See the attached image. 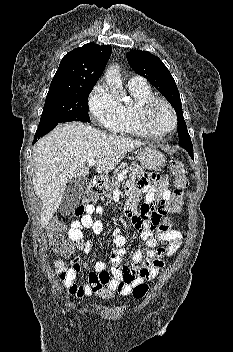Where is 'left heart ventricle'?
<instances>
[{
  "mask_svg": "<svg viewBox=\"0 0 233 352\" xmlns=\"http://www.w3.org/2000/svg\"><path fill=\"white\" fill-rule=\"evenodd\" d=\"M149 124L157 133L168 130L172 126V117L168 109L162 104H156L151 109Z\"/></svg>",
  "mask_w": 233,
  "mask_h": 352,
  "instance_id": "obj_1",
  "label": "left heart ventricle"
}]
</instances>
